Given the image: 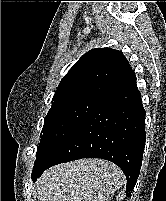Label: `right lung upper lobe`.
Here are the masks:
<instances>
[{
	"label": "right lung upper lobe",
	"mask_w": 166,
	"mask_h": 201,
	"mask_svg": "<svg viewBox=\"0 0 166 201\" xmlns=\"http://www.w3.org/2000/svg\"><path fill=\"white\" fill-rule=\"evenodd\" d=\"M131 72L127 59L120 51L92 49L62 78L52 105L87 95L106 96Z\"/></svg>",
	"instance_id": "cb5924a9"
}]
</instances>
